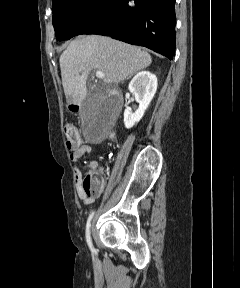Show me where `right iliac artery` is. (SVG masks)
Segmentation results:
<instances>
[{
    "instance_id": "right-iliac-artery-1",
    "label": "right iliac artery",
    "mask_w": 240,
    "mask_h": 288,
    "mask_svg": "<svg viewBox=\"0 0 240 288\" xmlns=\"http://www.w3.org/2000/svg\"><path fill=\"white\" fill-rule=\"evenodd\" d=\"M93 215H94V211L88 217L87 224H86V233H85L87 244L92 252L95 251L93 244H92L91 235H90V226H91V220L93 218Z\"/></svg>"
}]
</instances>
